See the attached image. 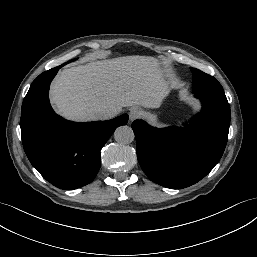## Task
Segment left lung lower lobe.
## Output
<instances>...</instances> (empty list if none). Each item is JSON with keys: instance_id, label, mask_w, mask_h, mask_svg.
I'll list each match as a JSON object with an SVG mask.
<instances>
[{"instance_id": "left-lung-lower-lobe-1", "label": "left lung lower lobe", "mask_w": 257, "mask_h": 257, "mask_svg": "<svg viewBox=\"0 0 257 257\" xmlns=\"http://www.w3.org/2000/svg\"><path fill=\"white\" fill-rule=\"evenodd\" d=\"M201 113L184 127L158 129L135 120L139 164L153 182L172 189L191 186L220 160L228 139L230 106L224 93H194Z\"/></svg>"}]
</instances>
